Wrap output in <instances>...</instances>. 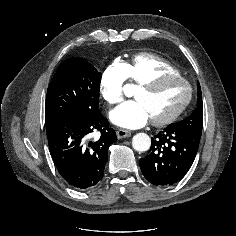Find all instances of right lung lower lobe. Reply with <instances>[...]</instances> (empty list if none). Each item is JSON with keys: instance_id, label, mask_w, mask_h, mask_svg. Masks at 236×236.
<instances>
[{"instance_id": "98d812e1", "label": "right lung lower lobe", "mask_w": 236, "mask_h": 236, "mask_svg": "<svg viewBox=\"0 0 236 236\" xmlns=\"http://www.w3.org/2000/svg\"><path fill=\"white\" fill-rule=\"evenodd\" d=\"M49 150L60 175L74 188L86 190L103 177L108 148L117 140L100 110L90 116H74L46 127ZM93 132L97 140L88 142Z\"/></svg>"}]
</instances>
